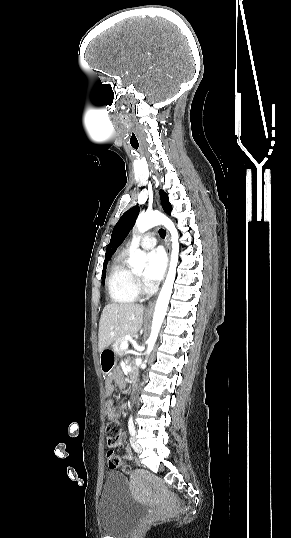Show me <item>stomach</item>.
<instances>
[{"label": "stomach", "instance_id": "obj_1", "mask_svg": "<svg viewBox=\"0 0 291 538\" xmlns=\"http://www.w3.org/2000/svg\"><path fill=\"white\" fill-rule=\"evenodd\" d=\"M117 354L113 347H107L100 352L101 372L104 375L109 374L115 367Z\"/></svg>", "mask_w": 291, "mask_h": 538}]
</instances>
